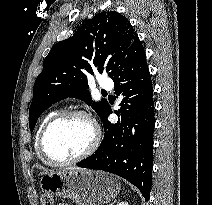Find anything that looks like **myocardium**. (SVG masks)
<instances>
[{
	"label": "myocardium",
	"mask_w": 212,
	"mask_h": 205,
	"mask_svg": "<svg viewBox=\"0 0 212 205\" xmlns=\"http://www.w3.org/2000/svg\"><path fill=\"white\" fill-rule=\"evenodd\" d=\"M72 117H80L85 119L92 127L93 137L88 147L78 156L73 157L71 159H67V160H58L54 158L48 152L46 143H45L46 137L48 132L54 125H56L57 123L65 119L72 118ZM100 138H101L100 130L97 124L95 123V121L91 118V116L88 113L82 110H67V111H62L57 113L56 115H54L51 119L47 121V123L44 125V127L42 128L39 134L38 147H39V151L41 155L47 162H49L52 165L65 166V165H71L79 161H82L85 158L89 157L91 154H93L95 150L97 149V147L99 146Z\"/></svg>",
	"instance_id": "myocardium-1"
}]
</instances>
